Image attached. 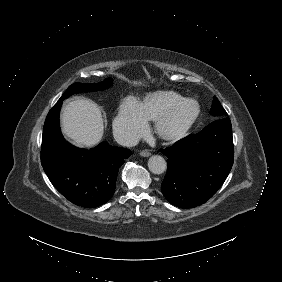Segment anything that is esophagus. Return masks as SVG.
I'll list each match as a JSON object with an SVG mask.
<instances>
[{"label": "esophagus", "mask_w": 282, "mask_h": 282, "mask_svg": "<svg viewBox=\"0 0 282 282\" xmlns=\"http://www.w3.org/2000/svg\"><path fill=\"white\" fill-rule=\"evenodd\" d=\"M139 154L143 157H148V156L151 155V153L149 151H141Z\"/></svg>", "instance_id": "34e87169"}]
</instances>
